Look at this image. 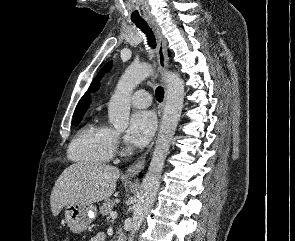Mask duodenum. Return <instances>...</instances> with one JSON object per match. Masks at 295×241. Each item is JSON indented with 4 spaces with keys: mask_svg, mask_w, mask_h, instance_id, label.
Segmentation results:
<instances>
[{
    "mask_svg": "<svg viewBox=\"0 0 295 241\" xmlns=\"http://www.w3.org/2000/svg\"><path fill=\"white\" fill-rule=\"evenodd\" d=\"M116 241H124L123 237H118Z\"/></svg>",
    "mask_w": 295,
    "mask_h": 241,
    "instance_id": "obj_1",
    "label": "duodenum"
}]
</instances>
